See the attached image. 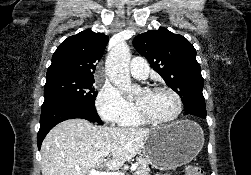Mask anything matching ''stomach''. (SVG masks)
Here are the masks:
<instances>
[{
    "label": "stomach",
    "mask_w": 251,
    "mask_h": 175,
    "mask_svg": "<svg viewBox=\"0 0 251 175\" xmlns=\"http://www.w3.org/2000/svg\"><path fill=\"white\" fill-rule=\"evenodd\" d=\"M204 145V131L197 121L180 119L150 129L142 155L156 169H172L192 161Z\"/></svg>",
    "instance_id": "stomach-1"
}]
</instances>
